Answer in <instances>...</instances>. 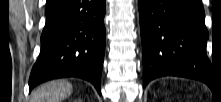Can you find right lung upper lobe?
<instances>
[{
	"mask_svg": "<svg viewBox=\"0 0 221 102\" xmlns=\"http://www.w3.org/2000/svg\"><path fill=\"white\" fill-rule=\"evenodd\" d=\"M55 0H48L47 1V5H49L50 3L54 2Z\"/></svg>",
	"mask_w": 221,
	"mask_h": 102,
	"instance_id": "right-lung-upper-lobe-1",
	"label": "right lung upper lobe"
}]
</instances>
